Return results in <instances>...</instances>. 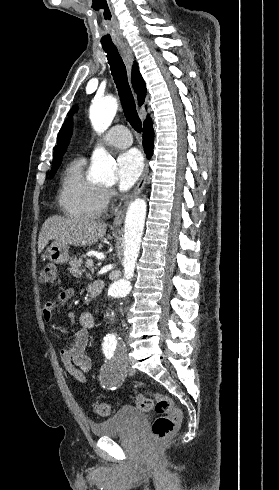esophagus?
<instances>
[{
	"label": "esophagus",
	"mask_w": 279,
	"mask_h": 490,
	"mask_svg": "<svg viewBox=\"0 0 279 490\" xmlns=\"http://www.w3.org/2000/svg\"><path fill=\"white\" fill-rule=\"evenodd\" d=\"M120 53L122 55L123 61L126 65V69L128 74H131V68H132V63L134 59L133 51L127 44H123L119 46ZM149 173V166L148 162H145L144 170L142 172V175L140 177V180L138 182V185L136 186L135 190L131 194V196L126 200L124 205L120 208L119 212L117 213L116 217L114 218L113 221V226L117 227L121 225V223L124 220L125 213L127 210V207L133 202V200L138 197V195L142 192V189L144 188V185H146L147 177Z\"/></svg>",
	"instance_id": "obj_1"
}]
</instances>
